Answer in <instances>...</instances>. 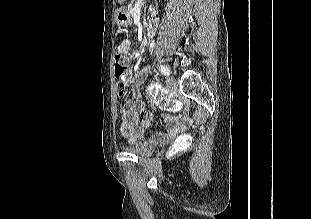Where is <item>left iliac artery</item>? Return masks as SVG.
Segmentation results:
<instances>
[{
  "label": "left iliac artery",
  "instance_id": "left-iliac-artery-1",
  "mask_svg": "<svg viewBox=\"0 0 311 219\" xmlns=\"http://www.w3.org/2000/svg\"><path fill=\"white\" fill-rule=\"evenodd\" d=\"M160 70L164 75L170 74V69L166 65H160Z\"/></svg>",
  "mask_w": 311,
  "mask_h": 219
}]
</instances>
